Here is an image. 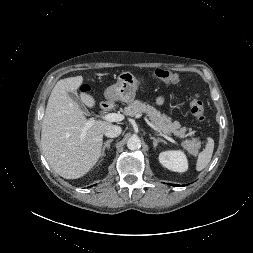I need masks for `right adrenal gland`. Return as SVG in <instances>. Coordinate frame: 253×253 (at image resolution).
I'll list each match as a JSON object with an SVG mask.
<instances>
[{
    "instance_id": "1",
    "label": "right adrenal gland",
    "mask_w": 253,
    "mask_h": 253,
    "mask_svg": "<svg viewBox=\"0 0 253 253\" xmlns=\"http://www.w3.org/2000/svg\"><path fill=\"white\" fill-rule=\"evenodd\" d=\"M113 141V139H109L104 143V146L102 148V152H101V158H103L105 156V149L107 148L109 150L110 148V143Z\"/></svg>"
}]
</instances>
